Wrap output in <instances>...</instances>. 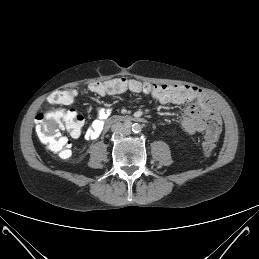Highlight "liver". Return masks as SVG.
Returning a JSON list of instances; mask_svg holds the SVG:
<instances>
[{
	"mask_svg": "<svg viewBox=\"0 0 259 259\" xmlns=\"http://www.w3.org/2000/svg\"><path fill=\"white\" fill-rule=\"evenodd\" d=\"M54 124L53 123H50V126H49V133H52L53 130H54Z\"/></svg>",
	"mask_w": 259,
	"mask_h": 259,
	"instance_id": "liver-1",
	"label": "liver"
}]
</instances>
